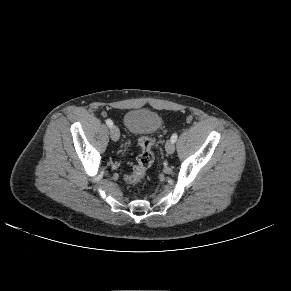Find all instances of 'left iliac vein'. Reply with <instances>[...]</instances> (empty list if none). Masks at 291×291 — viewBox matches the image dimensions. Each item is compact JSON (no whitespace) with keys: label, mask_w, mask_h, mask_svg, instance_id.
I'll use <instances>...</instances> for the list:
<instances>
[{"label":"left iliac vein","mask_w":291,"mask_h":291,"mask_svg":"<svg viewBox=\"0 0 291 291\" xmlns=\"http://www.w3.org/2000/svg\"><path fill=\"white\" fill-rule=\"evenodd\" d=\"M165 150H166V152L168 154L174 153V151H175V145H174V143L171 140H169V141L166 142V144H165Z\"/></svg>","instance_id":"obj_1"}]
</instances>
